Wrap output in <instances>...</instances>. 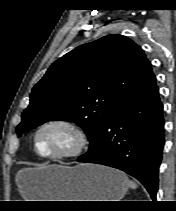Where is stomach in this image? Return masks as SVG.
<instances>
[{
	"label": "stomach",
	"instance_id": "obj_1",
	"mask_svg": "<svg viewBox=\"0 0 176 211\" xmlns=\"http://www.w3.org/2000/svg\"><path fill=\"white\" fill-rule=\"evenodd\" d=\"M17 184L27 201H120L130 185L123 172L95 164L25 169Z\"/></svg>",
	"mask_w": 176,
	"mask_h": 211
}]
</instances>
